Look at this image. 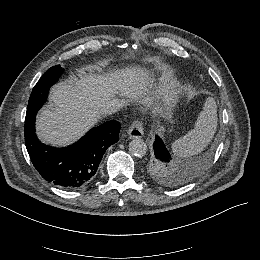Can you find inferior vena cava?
<instances>
[{
  "label": "inferior vena cava",
  "instance_id": "obj_1",
  "mask_svg": "<svg viewBox=\"0 0 260 260\" xmlns=\"http://www.w3.org/2000/svg\"><path fill=\"white\" fill-rule=\"evenodd\" d=\"M123 103L116 98L110 99L102 104V110L105 114L116 113L122 107Z\"/></svg>",
  "mask_w": 260,
  "mask_h": 260
}]
</instances>
